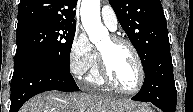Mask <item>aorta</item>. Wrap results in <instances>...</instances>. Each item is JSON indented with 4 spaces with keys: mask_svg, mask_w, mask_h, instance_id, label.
Here are the masks:
<instances>
[{
    "mask_svg": "<svg viewBox=\"0 0 193 112\" xmlns=\"http://www.w3.org/2000/svg\"><path fill=\"white\" fill-rule=\"evenodd\" d=\"M80 15L83 27L92 43L98 44L108 37V30L101 23L100 0H82Z\"/></svg>",
    "mask_w": 193,
    "mask_h": 112,
    "instance_id": "1",
    "label": "aorta"
}]
</instances>
